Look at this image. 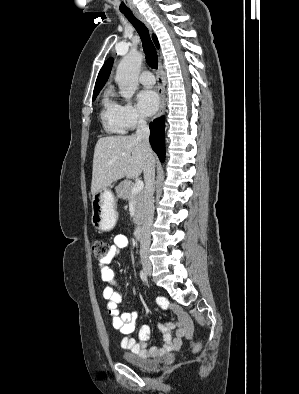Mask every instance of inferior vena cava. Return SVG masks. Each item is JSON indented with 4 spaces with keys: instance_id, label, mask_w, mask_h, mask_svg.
Here are the masks:
<instances>
[{
    "instance_id": "obj_1",
    "label": "inferior vena cava",
    "mask_w": 299,
    "mask_h": 394,
    "mask_svg": "<svg viewBox=\"0 0 299 394\" xmlns=\"http://www.w3.org/2000/svg\"><path fill=\"white\" fill-rule=\"evenodd\" d=\"M150 130L144 117L139 116L137 130L135 138L141 142L143 147L151 152L149 144ZM144 180H145V193H144V216L143 224L140 236V258L142 264H150L149 260V247L151 243V227L153 224L154 217V180H155V160L152 156H149L144 168Z\"/></svg>"
}]
</instances>
